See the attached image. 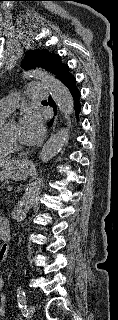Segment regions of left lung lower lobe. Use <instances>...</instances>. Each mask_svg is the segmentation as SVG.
I'll list each match as a JSON object with an SVG mask.
<instances>
[{
  "mask_svg": "<svg viewBox=\"0 0 118 320\" xmlns=\"http://www.w3.org/2000/svg\"><path fill=\"white\" fill-rule=\"evenodd\" d=\"M60 81L69 89V91L74 99L75 111L78 114L81 109V104L79 102L80 91L76 87V79L70 74V72L68 70L67 73L60 79ZM49 105L52 106L53 109H56V105L52 100H50ZM52 122L53 121H51L49 123L50 126L52 125Z\"/></svg>",
  "mask_w": 118,
  "mask_h": 320,
  "instance_id": "left-lung-lower-lobe-1",
  "label": "left lung lower lobe"
}]
</instances>
